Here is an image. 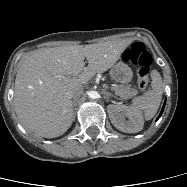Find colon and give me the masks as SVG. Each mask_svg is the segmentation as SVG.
I'll use <instances>...</instances> for the list:
<instances>
[{
    "label": "colon",
    "instance_id": "obj_1",
    "mask_svg": "<svg viewBox=\"0 0 187 187\" xmlns=\"http://www.w3.org/2000/svg\"><path fill=\"white\" fill-rule=\"evenodd\" d=\"M123 58L126 62L137 67V86L140 91H144L148 84L152 63L150 53L146 50L144 44L137 42L125 51Z\"/></svg>",
    "mask_w": 187,
    "mask_h": 187
}]
</instances>
